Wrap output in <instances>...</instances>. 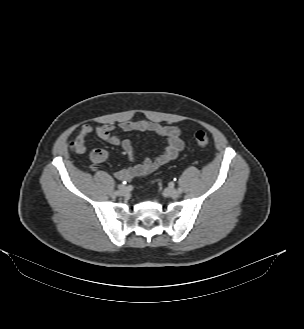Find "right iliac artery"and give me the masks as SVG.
Here are the masks:
<instances>
[{
	"label": "right iliac artery",
	"instance_id": "1",
	"mask_svg": "<svg viewBox=\"0 0 304 329\" xmlns=\"http://www.w3.org/2000/svg\"><path fill=\"white\" fill-rule=\"evenodd\" d=\"M114 194H115V195H119V190H116V191L114 192Z\"/></svg>",
	"mask_w": 304,
	"mask_h": 329
}]
</instances>
